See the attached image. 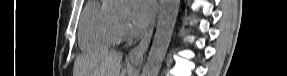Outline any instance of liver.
<instances>
[{
	"label": "liver",
	"mask_w": 287,
	"mask_h": 76,
	"mask_svg": "<svg viewBox=\"0 0 287 76\" xmlns=\"http://www.w3.org/2000/svg\"><path fill=\"white\" fill-rule=\"evenodd\" d=\"M122 53L101 50L78 57L74 76H120Z\"/></svg>",
	"instance_id": "1"
}]
</instances>
